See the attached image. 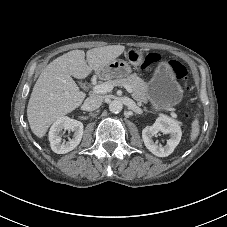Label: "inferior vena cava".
<instances>
[{"label":"inferior vena cava","instance_id":"obj_1","mask_svg":"<svg viewBox=\"0 0 227 227\" xmlns=\"http://www.w3.org/2000/svg\"><path fill=\"white\" fill-rule=\"evenodd\" d=\"M103 102V97L99 95H92L88 97L84 102V109L87 111H93L98 109Z\"/></svg>","mask_w":227,"mask_h":227}]
</instances>
